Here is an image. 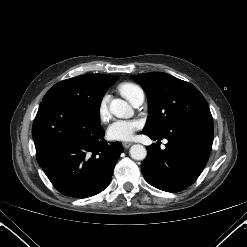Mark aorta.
I'll return each mask as SVG.
<instances>
[{"label": "aorta", "mask_w": 247, "mask_h": 247, "mask_svg": "<svg viewBox=\"0 0 247 247\" xmlns=\"http://www.w3.org/2000/svg\"><path fill=\"white\" fill-rule=\"evenodd\" d=\"M110 112L118 118H128L132 115V108L122 99H113L110 103ZM130 156L134 160H143L147 156V150L143 145L135 144L130 148Z\"/></svg>", "instance_id": "762f6f07"}]
</instances>
